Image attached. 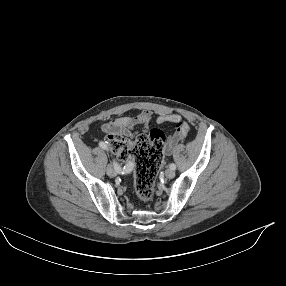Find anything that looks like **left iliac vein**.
<instances>
[{
    "instance_id": "1",
    "label": "left iliac vein",
    "mask_w": 286,
    "mask_h": 286,
    "mask_svg": "<svg viewBox=\"0 0 286 286\" xmlns=\"http://www.w3.org/2000/svg\"><path fill=\"white\" fill-rule=\"evenodd\" d=\"M165 176H166L168 179L174 178V176H175L174 170H172V169H167V170L165 171Z\"/></svg>"
}]
</instances>
